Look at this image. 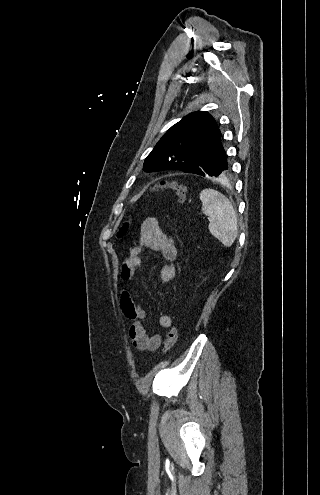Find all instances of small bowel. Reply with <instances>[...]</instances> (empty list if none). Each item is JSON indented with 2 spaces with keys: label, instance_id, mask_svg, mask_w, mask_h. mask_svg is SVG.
I'll list each match as a JSON object with an SVG mask.
<instances>
[{
  "label": "small bowel",
  "instance_id": "small-bowel-1",
  "mask_svg": "<svg viewBox=\"0 0 320 495\" xmlns=\"http://www.w3.org/2000/svg\"><path fill=\"white\" fill-rule=\"evenodd\" d=\"M144 248L163 256L166 263L160 270V278L165 283L171 281L176 274L174 261L178 254L177 245L173 237L162 230L156 218L146 219L141 225L140 235L132 241L129 258L121 269L123 278H129L134 270L142 267ZM120 303L125 317L131 322L129 336L134 347L140 351H156L161 345L162 337L159 334L148 333L145 310L127 293L121 295ZM159 324L163 328H170L173 320L169 315L162 314L159 317Z\"/></svg>",
  "mask_w": 320,
  "mask_h": 495
}]
</instances>
